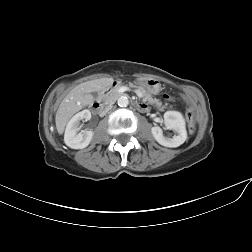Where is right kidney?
<instances>
[{
  "label": "right kidney",
  "instance_id": "ca27d5eb",
  "mask_svg": "<svg viewBox=\"0 0 252 252\" xmlns=\"http://www.w3.org/2000/svg\"><path fill=\"white\" fill-rule=\"evenodd\" d=\"M90 119L91 112L87 109L77 113L70 119L64 134V142L67 146L72 149H83L90 144L94 134L92 130H82L78 133L80 121Z\"/></svg>",
  "mask_w": 252,
  "mask_h": 252
}]
</instances>
